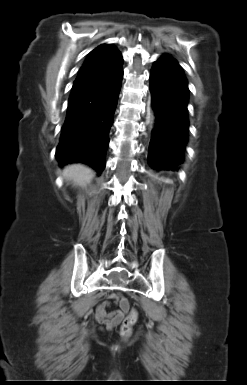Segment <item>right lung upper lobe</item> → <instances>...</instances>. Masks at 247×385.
Here are the masks:
<instances>
[{
	"mask_svg": "<svg viewBox=\"0 0 247 385\" xmlns=\"http://www.w3.org/2000/svg\"><path fill=\"white\" fill-rule=\"evenodd\" d=\"M121 62H123V58L115 47L110 44L100 45L89 54L75 82L112 69Z\"/></svg>",
	"mask_w": 247,
	"mask_h": 385,
	"instance_id": "right-lung-upper-lobe-1",
	"label": "right lung upper lobe"
}]
</instances>
